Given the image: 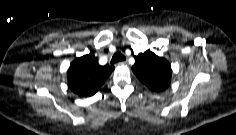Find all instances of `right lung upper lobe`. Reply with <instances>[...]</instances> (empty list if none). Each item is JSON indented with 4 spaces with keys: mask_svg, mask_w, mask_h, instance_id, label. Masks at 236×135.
<instances>
[{
    "mask_svg": "<svg viewBox=\"0 0 236 135\" xmlns=\"http://www.w3.org/2000/svg\"><path fill=\"white\" fill-rule=\"evenodd\" d=\"M114 70L98 63L92 53L76 58L67 71L69 88L80 97L93 96Z\"/></svg>",
    "mask_w": 236,
    "mask_h": 135,
    "instance_id": "obj_1",
    "label": "right lung upper lobe"
}]
</instances>
